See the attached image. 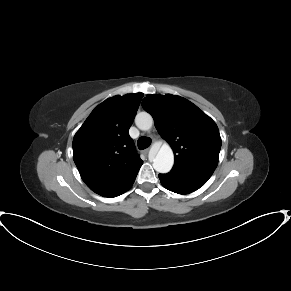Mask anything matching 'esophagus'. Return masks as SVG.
Listing matches in <instances>:
<instances>
[{"label": "esophagus", "mask_w": 291, "mask_h": 291, "mask_svg": "<svg viewBox=\"0 0 291 291\" xmlns=\"http://www.w3.org/2000/svg\"><path fill=\"white\" fill-rule=\"evenodd\" d=\"M148 152H149V149L144 150L145 154H148Z\"/></svg>", "instance_id": "1"}]
</instances>
